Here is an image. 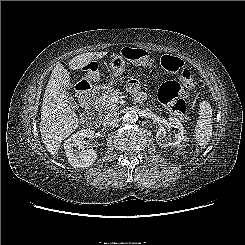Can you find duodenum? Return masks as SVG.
<instances>
[{
    "instance_id": "410a0bca",
    "label": "duodenum",
    "mask_w": 245,
    "mask_h": 245,
    "mask_svg": "<svg viewBox=\"0 0 245 245\" xmlns=\"http://www.w3.org/2000/svg\"><path fill=\"white\" fill-rule=\"evenodd\" d=\"M103 93V87H97L89 91L84 86H80L79 99L87 110L88 124L92 128H97L100 125L101 118L96 103Z\"/></svg>"
}]
</instances>
